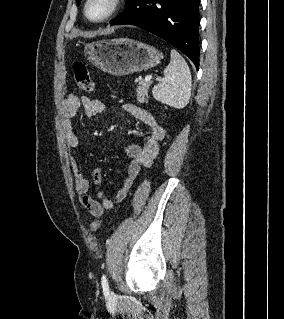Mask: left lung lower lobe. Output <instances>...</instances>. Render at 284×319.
Returning <instances> with one entry per match:
<instances>
[{
    "label": "left lung lower lobe",
    "mask_w": 284,
    "mask_h": 319,
    "mask_svg": "<svg viewBox=\"0 0 284 319\" xmlns=\"http://www.w3.org/2000/svg\"><path fill=\"white\" fill-rule=\"evenodd\" d=\"M200 0H131L111 25L130 24L182 51L199 68Z\"/></svg>",
    "instance_id": "left-lung-lower-lobe-1"
}]
</instances>
